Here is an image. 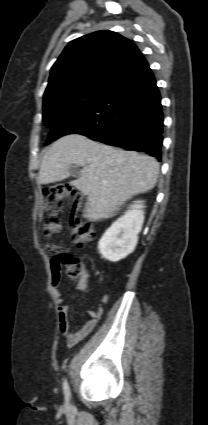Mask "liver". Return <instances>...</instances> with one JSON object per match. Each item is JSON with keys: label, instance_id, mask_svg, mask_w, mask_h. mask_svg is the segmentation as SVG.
I'll use <instances>...</instances> for the list:
<instances>
[{"label": "liver", "instance_id": "liver-1", "mask_svg": "<svg viewBox=\"0 0 208 425\" xmlns=\"http://www.w3.org/2000/svg\"><path fill=\"white\" fill-rule=\"evenodd\" d=\"M73 165L82 170L70 184L87 196L83 216L90 221L114 216L132 196L154 188L159 173V163L153 157L69 134L55 141L45 153L38 182L64 180Z\"/></svg>", "mask_w": 208, "mask_h": 425}]
</instances>
